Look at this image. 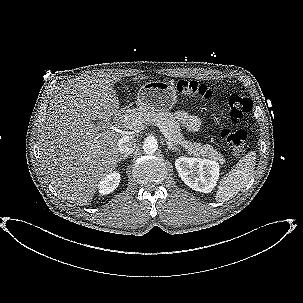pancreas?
Segmentation results:
<instances>
[{"mask_svg":"<svg viewBox=\"0 0 303 303\" xmlns=\"http://www.w3.org/2000/svg\"><path fill=\"white\" fill-rule=\"evenodd\" d=\"M159 123L164 126L169 132L172 142L175 145L185 149L188 154L194 156L209 157L214 160L224 162L223 156L213 149L209 144L201 145L200 143L190 142L185 140L180 131V124L176 121L174 115L167 111L161 112H143L137 111L128 115L125 124L132 126L133 130H137L147 124Z\"/></svg>","mask_w":303,"mask_h":303,"instance_id":"1","label":"pancreas"}]
</instances>
